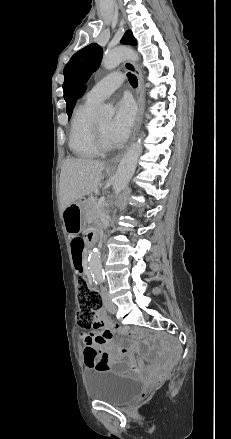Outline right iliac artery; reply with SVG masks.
<instances>
[{"label":"right iliac artery","instance_id":"obj_1","mask_svg":"<svg viewBox=\"0 0 231 439\" xmlns=\"http://www.w3.org/2000/svg\"><path fill=\"white\" fill-rule=\"evenodd\" d=\"M101 282V279H96L95 280V284H98V283H100Z\"/></svg>","mask_w":231,"mask_h":439}]
</instances>
